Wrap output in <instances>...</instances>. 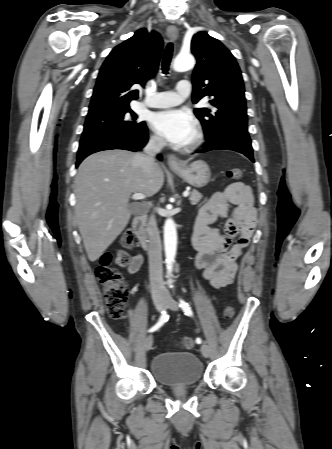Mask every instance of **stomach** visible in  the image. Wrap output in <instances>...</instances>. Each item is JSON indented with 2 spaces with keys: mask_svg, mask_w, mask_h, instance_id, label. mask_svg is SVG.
<instances>
[{
  "mask_svg": "<svg viewBox=\"0 0 332 449\" xmlns=\"http://www.w3.org/2000/svg\"><path fill=\"white\" fill-rule=\"evenodd\" d=\"M179 177L188 184L202 188L208 184L211 177L209 166L201 160L194 161L189 165H184L180 169H172Z\"/></svg>",
  "mask_w": 332,
  "mask_h": 449,
  "instance_id": "1",
  "label": "stomach"
}]
</instances>
